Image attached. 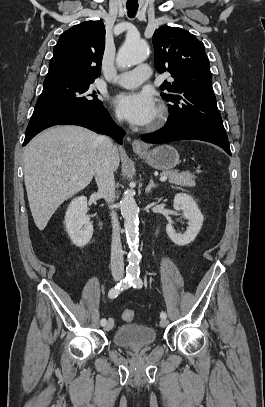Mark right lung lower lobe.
I'll use <instances>...</instances> for the list:
<instances>
[{
  "label": "right lung lower lobe",
  "mask_w": 265,
  "mask_h": 407,
  "mask_svg": "<svg viewBox=\"0 0 265 407\" xmlns=\"http://www.w3.org/2000/svg\"><path fill=\"white\" fill-rule=\"evenodd\" d=\"M59 124L83 126L97 133L110 135L120 144L125 135L124 130L115 125L109 113L103 106L86 107L67 111L28 125L23 146L42 130Z\"/></svg>",
  "instance_id": "right-lung-lower-lobe-1"
}]
</instances>
